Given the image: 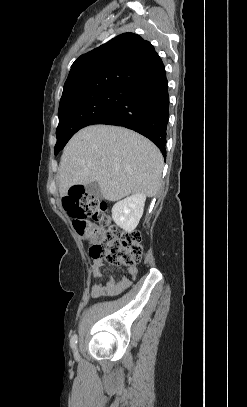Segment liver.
I'll return each mask as SVG.
<instances>
[{
    "label": "liver",
    "mask_w": 247,
    "mask_h": 407,
    "mask_svg": "<svg viewBox=\"0 0 247 407\" xmlns=\"http://www.w3.org/2000/svg\"><path fill=\"white\" fill-rule=\"evenodd\" d=\"M163 157L142 135L118 126L92 125L66 145L59 166V193L73 185L97 182L106 200L130 194L154 197L160 186Z\"/></svg>",
    "instance_id": "6515ba94"
}]
</instances>
